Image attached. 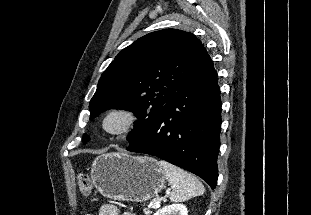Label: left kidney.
<instances>
[{"mask_svg":"<svg viewBox=\"0 0 311 215\" xmlns=\"http://www.w3.org/2000/svg\"><path fill=\"white\" fill-rule=\"evenodd\" d=\"M154 215H188V210L183 204H172L159 209Z\"/></svg>","mask_w":311,"mask_h":215,"instance_id":"obj_1","label":"left kidney"}]
</instances>
